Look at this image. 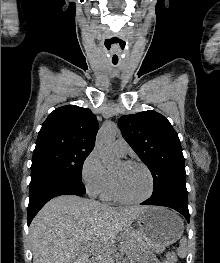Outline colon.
<instances>
[{
	"mask_svg": "<svg viewBox=\"0 0 220 263\" xmlns=\"http://www.w3.org/2000/svg\"><path fill=\"white\" fill-rule=\"evenodd\" d=\"M166 261H167V263H177L178 258H177L175 253L168 252L166 255Z\"/></svg>",
	"mask_w": 220,
	"mask_h": 263,
	"instance_id": "5ec220e1",
	"label": "colon"
}]
</instances>
